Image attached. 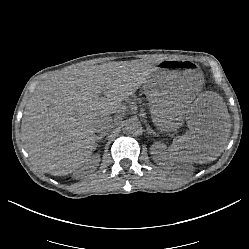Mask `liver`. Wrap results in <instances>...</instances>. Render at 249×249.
Instances as JSON below:
<instances>
[{
  "instance_id": "obj_1",
  "label": "liver",
  "mask_w": 249,
  "mask_h": 249,
  "mask_svg": "<svg viewBox=\"0 0 249 249\" xmlns=\"http://www.w3.org/2000/svg\"><path fill=\"white\" fill-rule=\"evenodd\" d=\"M148 67H70L41 82L26 104L21 140L31 163L44 173L64 176L87 162L96 148V120L114 114L122 101L147 83ZM103 94L104 96H100ZM152 122L161 132L188 131L173 139V159L209 163L224 151L231 123L223 98L199 95L191 104L172 105L162 95L148 99Z\"/></svg>"
}]
</instances>
